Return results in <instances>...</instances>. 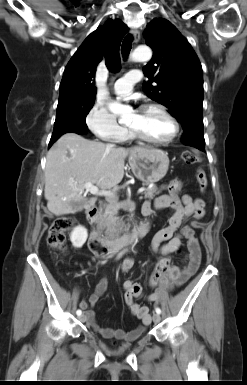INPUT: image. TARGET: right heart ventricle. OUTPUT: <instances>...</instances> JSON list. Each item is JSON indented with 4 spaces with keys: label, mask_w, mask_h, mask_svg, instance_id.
Segmentation results:
<instances>
[{
    "label": "right heart ventricle",
    "mask_w": 247,
    "mask_h": 385,
    "mask_svg": "<svg viewBox=\"0 0 247 385\" xmlns=\"http://www.w3.org/2000/svg\"><path fill=\"white\" fill-rule=\"evenodd\" d=\"M129 138H131V135H130L128 132H126V134H125V136L123 137V139H129Z\"/></svg>",
    "instance_id": "right-heart-ventricle-1"
}]
</instances>
